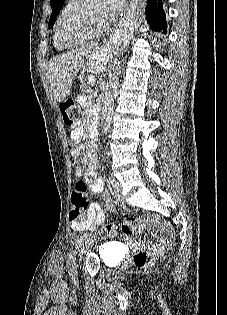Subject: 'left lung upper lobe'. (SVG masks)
Segmentation results:
<instances>
[{
  "label": "left lung upper lobe",
  "instance_id": "obj_1",
  "mask_svg": "<svg viewBox=\"0 0 227 315\" xmlns=\"http://www.w3.org/2000/svg\"><path fill=\"white\" fill-rule=\"evenodd\" d=\"M64 1L65 0H50L52 13H51V17H50L49 24H48L49 28L53 27L55 19L62 8Z\"/></svg>",
  "mask_w": 227,
  "mask_h": 315
}]
</instances>
